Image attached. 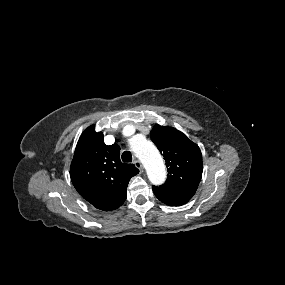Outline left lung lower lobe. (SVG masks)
I'll use <instances>...</instances> for the list:
<instances>
[{
    "instance_id": "left-lung-lower-lobe-1",
    "label": "left lung lower lobe",
    "mask_w": 285,
    "mask_h": 285,
    "mask_svg": "<svg viewBox=\"0 0 285 285\" xmlns=\"http://www.w3.org/2000/svg\"><path fill=\"white\" fill-rule=\"evenodd\" d=\"M155 196L163 203L171 206H180L187 203L195 194L192 191L170 189L165 187H152Z\"/></svg>"
}]
</instances>
